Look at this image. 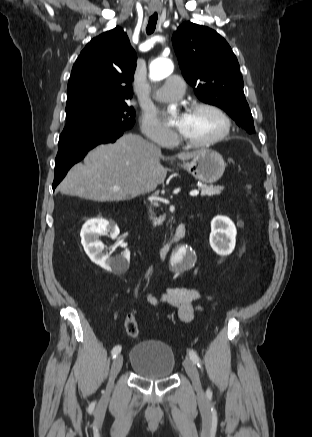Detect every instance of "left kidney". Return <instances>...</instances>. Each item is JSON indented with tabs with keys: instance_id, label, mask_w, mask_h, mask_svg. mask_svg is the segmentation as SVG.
<instances>
[{
	"instance_id": "obj_1",
	"label": "left kidney",
	"mask_w": 312,
	"mask_h": 437,
	"mask_svg": "<svg viewBox=\"0 0 312 437\" xmlns=\"http://www.w3.org/2000/svg\"><path fill=\"white\" fill-rule=\"evenodd\" d=\"M236 235V227L228 217L216 216L212 219L209 242L218 255L227 256L233 252Z\"/></svg>"
}]
</instances>
